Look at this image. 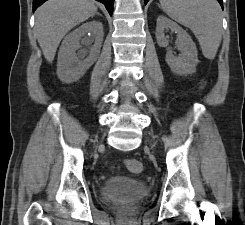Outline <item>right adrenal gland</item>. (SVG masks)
I'll use <instances>...</instances> for the list:
<instances>
[{
	"instance_id": "1",
	"label": "right adrenal gland",
	"mask_w": 245,
	"mask_h": 225,
	"mask_svg": "<svg viewBox=\"0 0 245 225\" xmlns=\"http://www.w3.org/2000/svg\"><path fill=\"white\" fill-rule=\"evenodd\" d=\"M97 15L102 16L100 13H97Z\"/></svg>"
}]
</instances>
